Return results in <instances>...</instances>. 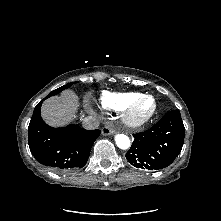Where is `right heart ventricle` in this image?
<instances>
[{
    "label": "right heart ventricle",
    "instance_id": "1",
    "mask_svg": "<svg viewBox=\"0 0 221 221\" xmlns=\"http://www.w3.org/2000/svg\"><path fill=\"white\" fill-rule=\"evenodd\" d=\"M143 95L138 92H108L102 93L99 104L102 108L121 111L128 103Z\"/></svg>",
    "mask_w": 221,
    "mask_h": 221
}]
</instances>
